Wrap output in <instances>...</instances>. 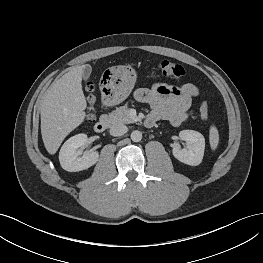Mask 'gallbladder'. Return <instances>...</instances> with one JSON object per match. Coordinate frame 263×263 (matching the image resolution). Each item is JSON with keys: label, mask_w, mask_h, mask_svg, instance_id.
I'll return each mask as SVG.
<instances>
[{"label": "gallbladder", "mask_w": 263, "mask_h": 263, "mask_svg": "<svg viewBox=\"0 0 263 263\" xmlns=\"http://www.w3.org/2000/svg\"><path fill=\"white\" fill-rule=\"evenodd\" d=\"M91 72H92L91 66L85 65L83 68V79L87 80L90 77Z\"/></svg>", "instance_id": "obj_1"}]
</instances>
